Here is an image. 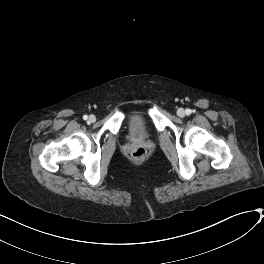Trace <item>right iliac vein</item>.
Segmentation results:
<instances>
[{
  "label": "right iliac vein",
  "instance_id": "right-iliac-vein-1",
  "mask_svg": "<svg viewBox=\"0 0 264 264\" xmlns=\"http://www.w3.org/2000/svg\"><path fill=\"white\" fill-rule=\"evenodd\" d=\"M95 120H96V117L94 115H90L89 116V121L90 122H95Z\"/></svg>",
  "mask_w": 264,
  "mask_h": 264
}]
</instances>
